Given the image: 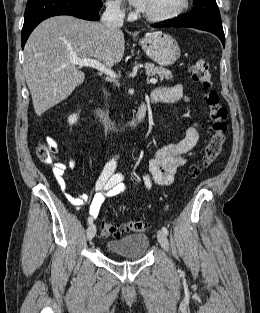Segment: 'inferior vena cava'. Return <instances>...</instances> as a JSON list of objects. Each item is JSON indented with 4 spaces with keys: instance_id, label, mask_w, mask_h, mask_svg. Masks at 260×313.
Instances as JSON below:
<instances>
[{
    "instance_id": "obj_1",
    "label": "inferior vena cava",
    "mask_w": 260,
    "mask_h": 313,
    "mask_svg": "<svg viewBox=\"0 0 260 313\" xmlns=\"http://www.w3.org/2000/svg\"><path fill=\"white\" fill-rule=\"evenodd\" d=\"M125 13L120 9L117 2H107L106 10L101 21L107 28L121 27L123 25Z\"/></svg>"
}]
</instances>
